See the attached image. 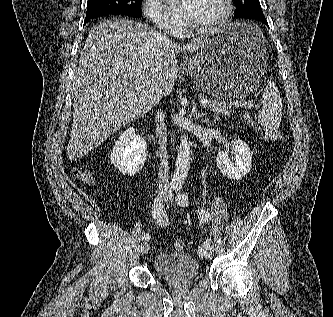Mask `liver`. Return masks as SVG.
<instances>
[{
    "label": "liver",
    "instance_id": "obj_1",
    "mask_svg": "<svg viewBox=\"0 0 333 317\" xmlns=\"http://www.w3.org/2000/svg\"><path fill=\"white\" fill-rule=\"evenodd\" d=\"M204 39L180 46L129 19L107 20L93 27L73 78L68 159L84 157L169 95L177 78L176 54L196 51Z\"/></svg>",
    "mask_w": 333,
    "mask_h": 317
}]
</instances>
